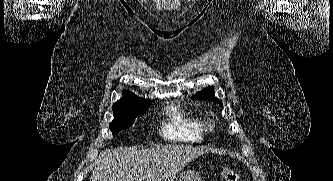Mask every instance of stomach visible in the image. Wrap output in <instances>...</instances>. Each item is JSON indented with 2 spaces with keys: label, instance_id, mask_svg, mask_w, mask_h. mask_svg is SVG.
<instances>
[{
  "label": "stomach",
  "instance_id": "1",
  "mask_svg": "<svg viewBox=\"0 0 333 181\" xmlns=\"http://www.w3.org/2000/svg\"><path fill=\"white\" fill-rule=\"evenodd\" d=\"M177 181H201V176L194 170H185L179 174Z\"/></svg>",
  "mask_w": 333,
  "mask_h": 181
}]
</instances>
